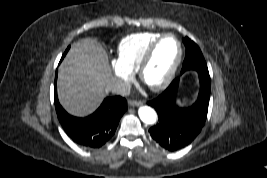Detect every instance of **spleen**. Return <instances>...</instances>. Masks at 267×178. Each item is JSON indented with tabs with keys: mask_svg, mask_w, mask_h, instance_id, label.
<instances>
[{
	"mask_svg": "<svg viewBox=\"0 0 267 178\" xmlns=\"http://www.w3.org/2000/svg\"><path fill=\"white\" fill-rule=\"evenodd\" d=\"M187 101H188V99H187V98H186V99H184V100H183L184 104H185Z\"/></svg>",
	"mask_w": 267,
	"mask_h": 178,
	"instance_id": "1",
	"label": "spleen"
}]
</instances>
